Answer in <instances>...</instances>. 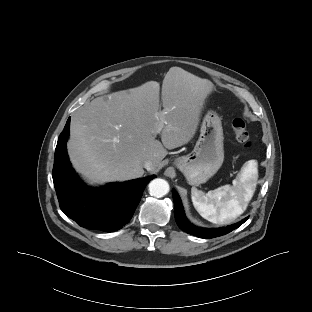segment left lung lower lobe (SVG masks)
<instances>
[{
  "instance_id": "obj_1",
  "label": "left lung lower lobe",
  "mask_w": 312,
  "mask_h": 312,
  "mask_svg": "<svg viewBox=\"0 0 312 312\" xmlns=\"http://www.w3.org/2000/svg\"><path fill=\"white\" fill-rule=\"evenodd\" d=\"M172 195H173V200H174V215H175L177 225L183 231L189 234H192L194 236H197V237L214 238V237L225 235L231 232L232 230L238 228L239 226H241L248 219L247 217L236 224H233L227 227H222V228H209V229L199 228L193 225L192 223H190L185 217L181 199L178 193L175 190H173Z\"/></svg>"
}]
</instances>
